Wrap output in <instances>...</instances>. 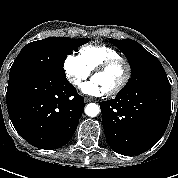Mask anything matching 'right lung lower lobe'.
<instances>
[{
  "mask_svg": "<svg viewBox=\"0 0 178 178\" xmlns=\"http://www.w3.org/2000/svg\"><path fill=\"white\" fill-rule=\"evenodd\" d=\"M6 101L18 134L46 150L69 142L85 107L66 77L51 74L9 78Z\"/></svg>",
  "mask_w": 178,
  "mask_h": 178,
  "instance_id": "obj_1",
  "label": "right lung lower lobe"
}]
</instances>
